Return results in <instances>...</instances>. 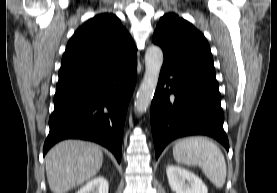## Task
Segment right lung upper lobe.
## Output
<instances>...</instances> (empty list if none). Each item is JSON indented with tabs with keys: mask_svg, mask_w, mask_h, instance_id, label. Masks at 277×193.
Listing matches in <instances>:
<instances>
[{
	"mask_svg": "<svg viewBox=\"0 0 277 193\" xmlns=\"http://www.w3.org/2000/svg\"><path fill=\"white\" fill-rule=\"evenodd\" d=\"M136 57L134 42L113 14H99L77 29L61 61L59 81L90 76Z\"/></svg>",
	"mask_w": 277,
	"mask_h": 193,
	"instance_id": "right-lung-upper-lobe-1",
	"label": "right lung upper lobe"
}]
</instances>
